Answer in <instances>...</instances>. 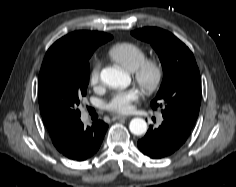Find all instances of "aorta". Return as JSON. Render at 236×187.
<instances>
[{
	"instance_id": "762f6f07",
	"label": "aorta",
	"mask_w": 236,
	"mask_h": 187,
	"mask_svg": "<svg viewBox=\"0 0 236 187\" xmlns=\"http://www.w3.org/2000/svg\"><path fill=\"white\" fill-rule=\"evenodd\" d=\"M101 80L112 88H126L130 84V76L113 67L104 68L100 74ZM129 129L134 135H142L147 131V123L142 118H134L130 121Z\"/></svg>"
}]
</instances>
